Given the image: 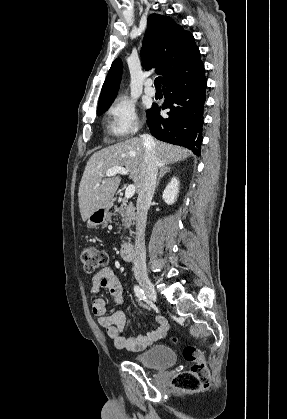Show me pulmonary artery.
I'll return each instance as SVG.
<instances>
[{"label": "pulmonary artery", "instance_id": "pulmonary-artery-1", "mask_svg": "<svg viewBox=\"0 0 287 419\" xmlns=\"http://www.w3.org/2000/svg\"><path fill=\"white\" fill-rule=\"evenodd\" d=\"M144 90H145V93H146L148 96H151V97L155 96L156 91H155V89L152 87V80H151V79H148V80L145 82V88H144Z\"/></svg>", "mask_w": 287, "mask_h": 419}]
</instances>
